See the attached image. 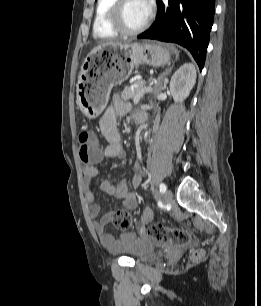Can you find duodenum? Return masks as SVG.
I'll list each match as a JSON object with an SVG mask.
<instances>
[{
    "mask_svg": "<svg viewBox=\"0 0 261 306\" xmlns=\"http://www.w3.org/2000/svg\"><path fill=\"white\" fill-rule=\"evenodd\" d=\"M147 119V116L145 113H140L139 115L136 116V122L138 124H143Z\"/></svg>",
    "mask_w": 261,
    "mask_h": 306,
    "instance_id": "1",
    "label": "duodenum"
}]
</instances>
